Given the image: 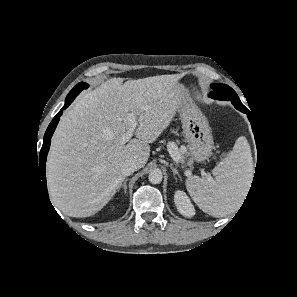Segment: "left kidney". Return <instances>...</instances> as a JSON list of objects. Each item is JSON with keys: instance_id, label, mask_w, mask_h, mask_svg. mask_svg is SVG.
I'll return each instance as SVG.
<instances>
[{"instance_id": "1", "label": "left kidney", "mask_w": 297, "mask_h": 297, "mask_svg": "<svg viewBox=\"0 0 297 297\" xmlns=\"http://www.w3.org/2000/svg\"><path fill=\"white\" fill-rule=\"evenodd\" d=\"M174 202L177 210L184 217L191 218L195 215V209L185 192L180 190L176 191L174 194Z\"/></svg>"}]
</instances>
